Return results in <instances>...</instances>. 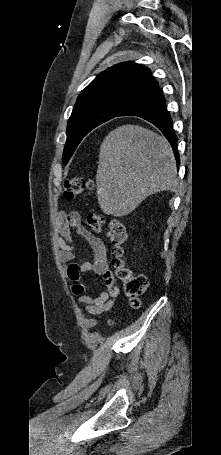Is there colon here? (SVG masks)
Returning a JSON list of instances; mask_svg holds the SVG:
<instances>
[{"label":"colon","mask_w":221,"mask_h":455,"mask_svg":"<svg viewBox=\"0 0 221 455\" xmlns=\"http://www.w3.org/2000/svg\"><path fill=\"white\" fill-rule=\"evenodd\" d=\"M93 182L83 177H73L65 181L63 197L71 200L84 191L92 189ZM88 225L96 233L108 230V236L112 245V263L115 269L116 279L122 283L125 294L133 308L140 306V297L148 286V279L143 274H135L126 264L124 259L127 232L124 225L116 220L108 218L102 213H91L87 218Z\"/></svg>","instance_id":"colon-1"}]
</instances>
